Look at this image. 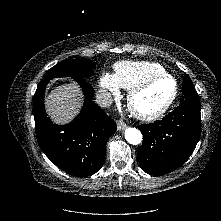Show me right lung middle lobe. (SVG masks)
I'll use <instances>...</instances> for the list:
<instances>
[{
  "mask_svg": "<svg viewBox=\"0 0 221 221\" xmlns=\"http://www.w3.org/2000/svg\"><path fill=\"white\" fill-rule=\"evenodd\" d=\"M95 64L90 60L68 59L64 60L48 70L43 80H50L55 77H72L73 79L90 76Z\"/></svg>",
  "mask_w": 221,
  "mask_h": 221,
  "instance_id": "right-lung-middle-lobe-1",
  "label": "right lung middle lobe"
}]
</instances>
